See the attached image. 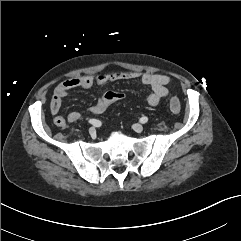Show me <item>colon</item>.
Wrapping results in <instances>:
<instances>
[{
	"instance_id": "obj_1",
	"label": "colon",
	"mask_w": 241,
	"mask_h": 241,
	"mask_svg": "<svg viewBox=\"0 0 241 241\" xmlns=\"http://www.w3.org/2000/svg\"><path fill=\"white\" fill-rule=\"evenodd\" d=\"M103 98L107 101L123 100L124 94L119 91L109 90L103 93ZM169 109L172 113H179L181 110V104L178 98L172 97L169 100Z\"/></svg>"
}]
</instances>
